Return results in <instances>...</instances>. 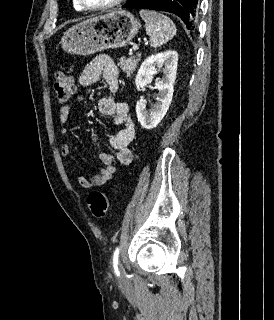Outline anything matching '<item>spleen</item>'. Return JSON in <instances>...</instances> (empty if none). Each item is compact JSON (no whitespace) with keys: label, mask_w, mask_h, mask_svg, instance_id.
<instances>
[{"label":"spleen","mask_w":274,"mask_h":320,"mask_svg":"<svg viewBox=\"0 0 274 320\" xmlns=\"http://www.w3.org/2000/svg\"><path fill=\"white\" fill-rule=\"evenodd\" d=\"M139 14L145 22L146 34L150 36L151 48H159L176 36V26L167 16L153 10H140Z\"/></svg>","instance_id":"3e777b00"}]
</instances>
